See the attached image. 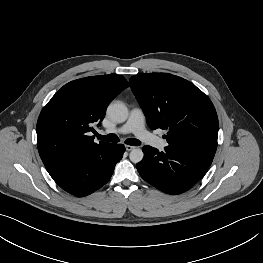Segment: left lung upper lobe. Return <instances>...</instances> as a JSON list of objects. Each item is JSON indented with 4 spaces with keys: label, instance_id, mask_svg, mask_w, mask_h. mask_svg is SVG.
<instances>
[{
    "label": "left lung upper lobe",
    "instance_id": "5c2ea615",
    "mask_svg": "<svg viewBox=\"0 0 263 263\" xmlns=\"http://www.w3.org/2000/svg\"><path fill=\"white\" fill-rule=\"evenodd\" d=\"M130 87L152 129L167 130L168 146L214 158L218 117L208 98L193 83L168 73L139 74Z\"/></svg>",
    "mask_w": 263,
    "mask_h": 263
}]
</instances>
